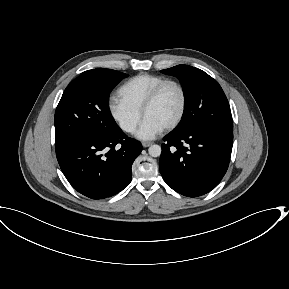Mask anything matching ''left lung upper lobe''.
I'll list each match as a JSON object with an SVG mask.
<instances>
[{
	"mask_svg": "<svg viewBox=\"0 0 289 289\" xmlns=\"http://www.w3.org/2000/svg\"><path fill=\"white\" fill-rule=\"evenodd\" d=\"M161 72L177 77L183 87L184 113L174 130L186 131L193 127H207L233 131L228 100L215 79L188 65H177Z\"/></svg>",
	"mask_w": 289,
	"mask_h": 289,
	"instance_id": "1",
	"label": "left lung upper lobe"
}]
</instances>
